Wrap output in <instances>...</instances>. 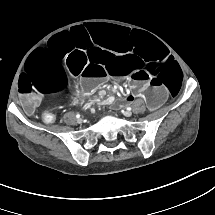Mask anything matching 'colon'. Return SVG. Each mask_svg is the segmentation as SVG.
Listing matches in <instances>:
<instances>
[{"label": "colon", "mask_w": 215, "mask_h": 215, "mask_svg": "<svg viewBox=\"0 0 215 215\" xmlns=\"http://www.w3.org/2000/svg\"><path fill=\"white\" fill-rule=\"evenodd\" d=\"M54 119H55V116L51 111L47 110L43 113V120L46 123H53Z\"/></svg>", "instance_id": "5ec220e1"}]
</instances>
